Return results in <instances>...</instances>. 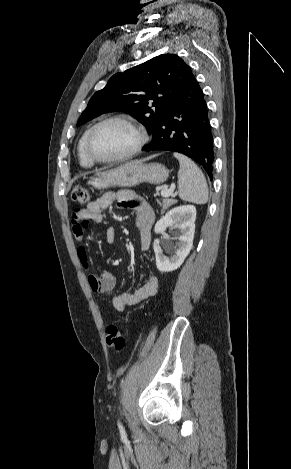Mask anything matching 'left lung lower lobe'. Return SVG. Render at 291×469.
I'll use <instances>...</instances> for the list:
<instances>
[{
	"mask_svg": "<svg viewBox=\"0 0 291 469\" xmlns=\"http://www.w3.org/2000/svg\"><path fill=\"white\" fill-rule=\"evenodd\" d=\"M142 150L182 153L207 172L214 171V142L203 92L192 74L168 105L149 146Z\"/></svg>",
	"mask_w": 291,
	"mask_h": 469,
	"instance_id": "1",
	"label": "left lung lower lobe"
}]
</instances>
